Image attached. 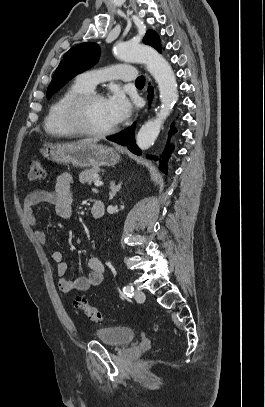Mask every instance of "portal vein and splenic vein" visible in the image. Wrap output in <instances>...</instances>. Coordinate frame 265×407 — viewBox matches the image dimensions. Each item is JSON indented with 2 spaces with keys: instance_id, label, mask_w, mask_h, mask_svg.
<instances>
[{
  "instance_id": "portal-vein-and-splenic-vein-1",
  "label": "portal vein and splenic vein",
  "mask_w": 265,
  "mask_h": 407,
  "mask_svg": "<svg viewBox=\"0 0 265 407\" xmlns=\"http://www.w3.org/2000/svg\"><path fill=\"white\" fill-rule=\"evenodd\" d=\"M94 185H95L96 187H100V186L103 185V182H102L101 180H96V181L94 182Z\"/></svg>"
}]
</instances>
